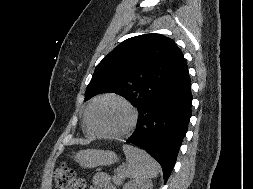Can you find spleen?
<instances>
[{
    "label": "spleen",
    "mask_w": 253,
    "mask_h": 189,
    "mask_svg": "<svg viewBox=\"0 0 253 189\" xmlns=\"http://www.w3.org/2000/svg\"><path fill=\"white\" fill-rule=\"evenodd\" d=\"M123 151L128 162L126 177L136 180L157 177L160 166L147 152L128 144L123 145Z\"/></svg>",
    "instance_id": "spleen-1"
}]
</instances>
